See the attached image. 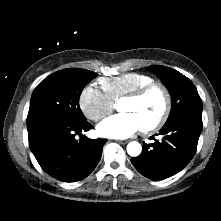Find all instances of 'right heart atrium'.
I'll return each mask as SVG.
<instances>
[{"label":"right heart atrium","instance_id":"1","mask_svg":"<svg viewBox=\"0 0 221 221\" xmlns=\"http://www.w3.org/2000/svg\"><path fill=\"white\" fill-rule=\"evenodd\" d=\"M79 107L91 121L98 122L114 109V102L96 86H85L79 96Z\"/></svg>","mask_w":221,"mask_h":221}]
</instances>
